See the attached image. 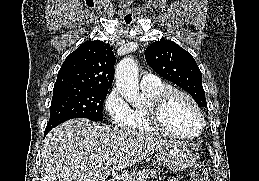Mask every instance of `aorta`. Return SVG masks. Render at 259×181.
<instances>
[{"label":"aorta","instance_id":"aorta-1","mask_svg":"<svg viewBox=\"0 0 259 181\" xmlns=\"http://www.w3.org/2000/svg\"><path fill=\"white\" fill-rule=\"evenodd\" d=\"M115 82L119 93L133 107L141 106L144 97L139 91L138 66L131 57H125L116 66Z\"/></svg>","mask_w":259,"mask_h":181}]
</instances>
